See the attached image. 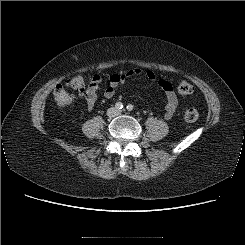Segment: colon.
I'll return each instance as SVG.
<instances>
[{
	"instance_id": "colon-1",
	"label": "colon",
	"mask_w": 245,
	"mask_h": 245,
	"mask_svg": "<svg viewBox=\"0 0 245 245\" xmlns=\"http://www.w3.org/2000/svg\"><path fill=\"white\" fill-rule=\"evenodd\" d=\"M86 81L82 75H74L67 83L66 88L59 86L54 91V102L58 107H65L72 103L75 95L71 92L82 93L85 89ZM71 90V91H70ZM177 92L181 96L190 95L193 92V86L186 81H181L177 85ZM184 117L188 122H195L199 118V113L194 108H189L185 111Z\"/></svg>"
}]
</instances>
